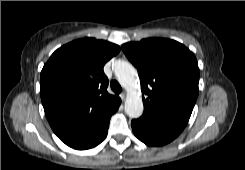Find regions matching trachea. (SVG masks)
Returning a JSON list of instances; mask_svg holds the SVG:
<instances>
[{"instance_id": "trachea-1", "label": "trachea", "mask_w": 245, "mask_h": 170, "mask_svg": "<svg viewBox=\"0 0 245 170\" xmlns=\"http://www.w3.org/2000/svg\"><path fill=\"white\" fill-rule=\"evenodd\" d=\"M110 86L112 91L116 94H119L122 91L120 84L115 80L111 82Z\"/></svg>"}]
</instances>
